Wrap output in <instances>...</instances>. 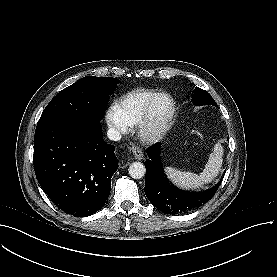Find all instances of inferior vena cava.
Wrapping results in <instances>:
<instances>
[{"label": "inferior vena cava", "instance_id": "inferior-vena-cava-1", "mask_svg": "<svg viewBox=\"0 0 277 277\" xmlns=\"http://www.w3.org/2000/svg\"><path fill=\"white\" fill-rule=\"evenodd\" d=\"M107 136L112 141H119L121 139L120 132L117 129H115V128H110L107 131Z\"/></svg>", "mask_w": 277, "mask_h": 277}]
</instances>
